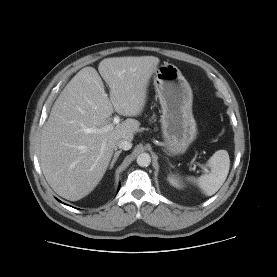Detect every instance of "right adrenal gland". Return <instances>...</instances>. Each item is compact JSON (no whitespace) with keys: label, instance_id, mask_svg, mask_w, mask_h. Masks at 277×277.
<instances>
[{"label":"right adrenal gland","instance_id":"2a0ac1e0","mask_svg":"<svg viewBox=\"0 0 277 277\" xmlns=\"http://www.w3.org/2000/svg\"><path fill=\"white\" fill-rule=\"evenodd\" d=\"M121 152H122V150H119V151H116V152L114 153V156H113V159H112V161H111V164H110L109 169H112V168H113L114 163L117 161V159H118L119 155L121 154Z\"/></svg>","mask_w":277,"mask_h":277}]
</instances>
